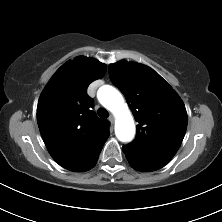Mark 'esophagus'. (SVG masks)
Returning a JSON list of instances; mask_svg holds the SVG:
<instances>
[{"instance_id":"1","label":"esophagus","mask_w":222,"mask_h":222,"mask_svg":"<svg viewBox=\"0 0 222 222\" xmlns=\"http://www.w3.org/2000/svg\"><path fill=\"white\" fill-rule=\"evenodd\" d=\"M109 121H110L111 123H114V117H113V116H110V117H109Z\"/></svg>"}]
</instances>
